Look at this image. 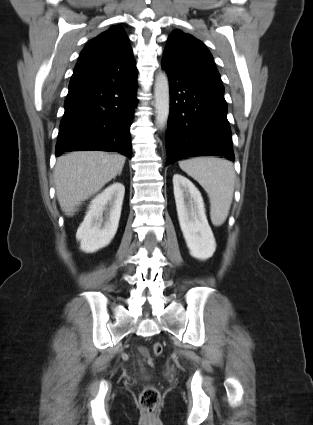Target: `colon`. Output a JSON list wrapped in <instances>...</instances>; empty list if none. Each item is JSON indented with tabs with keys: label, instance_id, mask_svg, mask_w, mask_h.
Wrapping results in <instances>:
<instances>
[{
	"label": "colon",
	"instance_id": "colon-1",
	"mask_svg": "<svg viewBox=\"0 0 313 425\" xmlns=\"http://www.w3.org/2000/svg\"><path fill=\"white\" fill-rule=\"evenodd\" d=\"M152 350L155 356H159L163 352V345L160 342H155L152 346ZM160 402V393L155 386L149 385L142 390L139 403L146 414L154 415L159 408Z\"/></svg>",
	"mask_w": 313,
	"mask_h": 425
}]
</instances>
